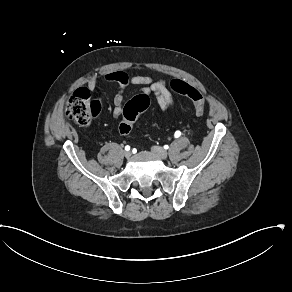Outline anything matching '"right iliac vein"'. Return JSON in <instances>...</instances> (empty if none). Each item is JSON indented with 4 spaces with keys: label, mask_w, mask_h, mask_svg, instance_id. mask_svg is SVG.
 Returning <instances> with one entry per match:
<instances>
[{
    "label": "right iliac vein",
    "mask_w": 292,
    "mask_h": 292,
    "mask_svg": "<svg viewBox=\"0 0 292 292\" xmlns=\"http://www.w3.org/2000/svg\"><path fill=\"white\" fill-rule=\"evenodd\" d=\"M131 155H132L131 151H125V152H124V156H125V158H130Z\"/></svg>",
    "instance_id": "right-iliac-vein-1"
}]
</instances>
